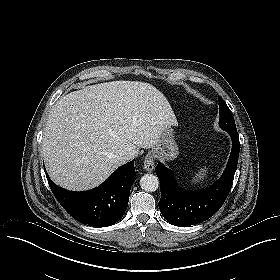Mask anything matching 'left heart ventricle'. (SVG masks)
<instances>
[{"mask_svg":"<svg viewBox=\"0 0 280 280\" xmlns=\"http://www.w3.org/2000/svg\"><path fill=\"white\" fill-rule=\"evenodd\" d=\"M170 153H171V150L168 149V151L166 152L164 158L167 159V160H169V159H170Z\"/></svg>","mask_w":280,"mask_h":280,"instance_id":"left-heart-ventricle-1","label":"left heart ventricle"}]
</instances>
